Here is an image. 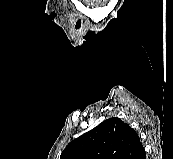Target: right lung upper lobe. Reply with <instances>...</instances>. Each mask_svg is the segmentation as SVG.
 <instances>
[{
  "mask_svg": "<svg viewBox=\"0 0 173 159\" xmlns=\"http://www.w3.org/2000/svg\"><path fill=\"white\" fill-rule=\"evenodd\" d=\"M138 134L119 118H110L71 141L60 159H141Z\"/></svg>",
  "mask_w": 173,
  "mask_h": 159,
  "instance_id": "obj_1",
  "label": "right lung upper lobe"
}]
</instances>
